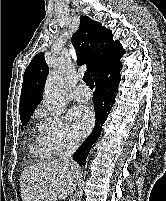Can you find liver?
<instances>
[{"mask_svg": "<svg viewBox=\"0 0 166 201\" xmlns=\"http://www.w3.org/2000/svg\"><path fill=\"white\" fill-rule=\"evenodd\" d=\"M79 167L75 163L52 160L26 167L20 178L23 201L64 200L75 189Z\"/></svg>", "mask_w": 166, "mask_h": 201, "instance_id": "1", "label": "liver"}]
</instances>
